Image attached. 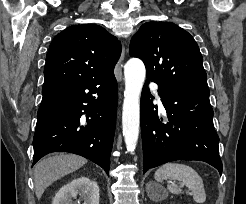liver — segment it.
Segmentation results:
<instances>
[{
  "instance_id": "1",
  "label": "liver",
  "mask_w": 246,
  "mask_h": 204,
  "mask_svg": "<svg viewBox=\"0 0 246 204\" xmlns=\"http://www.w3.org/2000/svg\"><path fill=\"white\" fill-rule=\"evenodd\" d=\"M86 163L85 158L75 154H58L39 161L34 168L36 197L40 199L45 189L54 181Z\"/></svg>"
}]
</instances>
